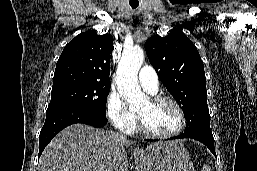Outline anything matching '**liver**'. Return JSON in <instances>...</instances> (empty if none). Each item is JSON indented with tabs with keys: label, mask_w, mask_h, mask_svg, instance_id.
I'll list each match as a JSON object with an SVG mask.
<instances>
[{
	"label": "liver",
	"mask_w": 257,
	"mask_h": 171,
	"mask_svg": "<svg viewBox=\"0 0 257 171\" xmlns=\"http://www.w3.org/2000/svg\"><path fill=\"white\" fill-rule=\"evenodd\" d=\"M125 136L84 124L59 132L40 157V171H127Z\"/></svg>",
	"instance_id": "liver-1"
}]
</instances>
